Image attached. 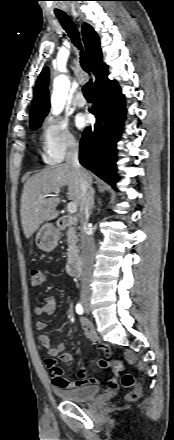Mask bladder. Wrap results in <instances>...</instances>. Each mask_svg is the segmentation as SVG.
Wrapping results in <instances>:
<instances>
[{
	"mask_svg": "<svg viewBox=\"0 0 174 440\" xmlns=\"http://www.w3.org/2000/svg\"><path fill=\"white\" fill-rule=\"evenodd\" d=\"M100 388L96 385L80 386L70 390H57V395L65 401L84 402L97 396Z\"/></svg>",
	"mask_w": 174,
	"mask_h": 440,
	"instance_id": "bladder-1",
	"label": "bladder"
}]
</instances>
